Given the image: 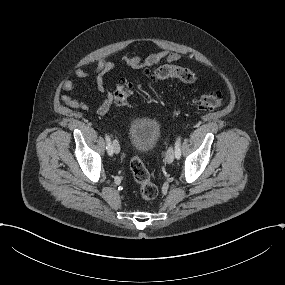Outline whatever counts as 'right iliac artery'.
I'll list each match as a JSON object with an SVG mask.
<instances>
[{
    "mask_svg": "<svg viewBox=\"0 0 285 285\" xmlns=\"http://www.w3.org/2000/svg\"><path fill=\"white\" fill-rule=\"evenodd\" d=\"M105 140H106V144H107V146H106L107 152L109 155H112L113 151H112L111 139L107 134H105Z\"/></svg>",
    "mask_w": 285,
    "mask_h": 285,
    "instance_id": "1",
    "label": "right iliac artery"
}]
</instances>
